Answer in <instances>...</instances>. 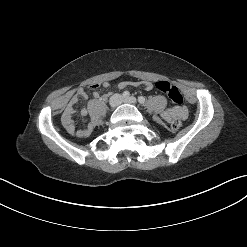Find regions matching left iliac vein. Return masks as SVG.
<instances>
[{
  "label": "left iliac vein",
  "instance_id": "left-iliac-vein-1",
  "mask_svg": "<svg viewBox=\"0 0 247 247\" xmlns=\"http://www.w3.org/2000/svg\"><path fill=\"white\" fill-rule=\"evenodd\" d=\"M123 102L124 103H128V104H132V105H136V103H137V100H136V98L135 97H128V98H124L123 99Z\"/></svg>",
  "mask_w": 247,
  "mask_h": 247
}]
</instances>
